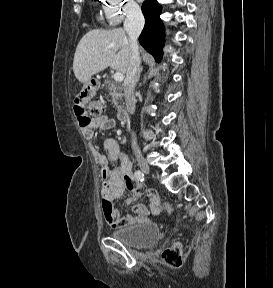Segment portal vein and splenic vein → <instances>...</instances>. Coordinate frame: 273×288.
I'll return each mask as SVG.
<instances>
[{"label": "portal vein and splenic vein", "instance_id": "18ae733b", "mask_svg": "<svg viewBox=\"0 0 273 288\" xmlns=\"http://www.w3.org/2000/svg\"><path fill=\"white\" fill-rule=\"evenodd\" d=\"M113 78L116 82H122L124 80V74L121 72H116Z\"/></svg>", "mask_w": 273, "mask_h": 288}]
</instances>
